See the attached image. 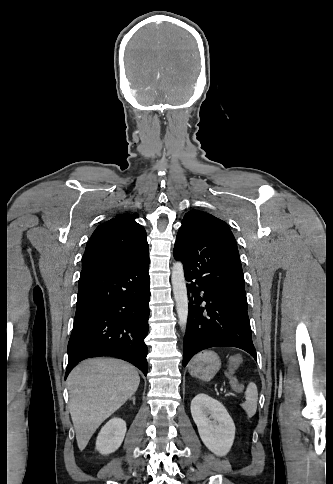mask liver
<instances>
[{"label": "liver", "instance_id": "6515ba94", "mask_svg": "<svg viewBox=\"0 0 333 484\" xmlns=\"http://www.w3.org/2000/svg\"><path fill=\"white\" fill-rule=\"evenodd\" d=\"M137 370L121 360L89 359L69 374L70 414L82 451L101 423L138 389Z\"/></svg>", "mask_w": 333, "mask_h": 484}]
</instances>
